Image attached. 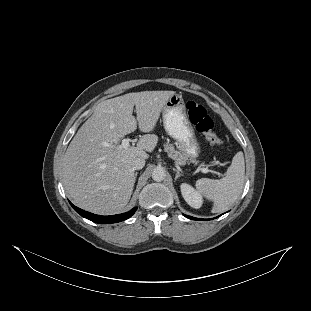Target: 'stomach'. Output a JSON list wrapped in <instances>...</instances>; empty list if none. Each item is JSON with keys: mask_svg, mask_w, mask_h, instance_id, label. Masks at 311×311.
Segmentation results:
<instances>
[{"mask_svg": "<svg viewBox=\"0 0 311 311\" xmlns=\"http://www.w3.org/2000/svg\"><path fill=\"white\" fill-rule=\"evenodd\" d=\"M162 121L166 133L177 142L178 150L189 160H196L201 149L181 94L175 93L166 101L162 110Z\"/></svg>", "mask_w": 311, "mask_h": 311, "instance_id": "0dacf381", "label": "stomach"}]
</instances>
